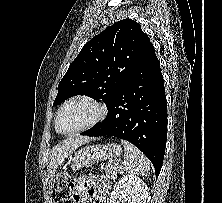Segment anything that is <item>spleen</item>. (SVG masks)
Listing matches in <instances>:
<instances>
[{"label": "spleen", "instance_id": "3e777b00", "mask_svg": "<svg viewBox=\"0 0 222 203\" xmlns=\"http://www.w3.org/2000/svg\"><path fill=\"white\" fill-rule=\"evenodd\" d=\"M124 147V163L125 171L130 175L147 176L150 171V163L148 158L133 144L126 140H121Z\"/></svg>", "mask_w": 222, "mask_h": 203}]
</instances>
